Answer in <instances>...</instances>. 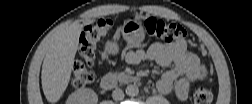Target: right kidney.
<instances>
[{
	"mask_svg": "<svg viewBox=\"0 0 252 104\" xmlns=\"http://www.w3.org/2000/svg\"><path fill=\"white\" fill-rule=\"evenodd\" d=\"M98 96L91 89H79L72 93L68 99V104H96Z\"/></svg>",
	"mask_w": 252,
	"mask_h": 104,
	"instance_id": "right-kidney-1",
	"label": "right kidney"
}]
</instances>
